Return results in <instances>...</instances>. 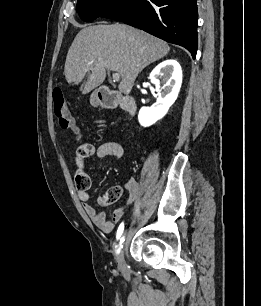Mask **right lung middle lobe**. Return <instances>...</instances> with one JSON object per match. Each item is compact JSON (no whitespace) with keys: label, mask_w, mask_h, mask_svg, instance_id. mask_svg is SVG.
<instances>
[{"label":"right lung middle lobe","mask_w":261,"mask_h":306,"mask_svg":"<svg viewBox=\"0 0 261 306\" xmlns=\"http://www.w3.org/2000/svg\"><path fill=\"white\" fill-rule=\"evenodd\" d=\"M123 0H78L76 10L84 21H92Z\"/></svg>","instance_id":"dd1d6c3e"}]
</instances>
